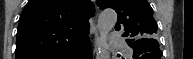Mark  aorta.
Masks as SVG:
<instances>
[{
    "label": "aorta",
    "mask_w": 193,
    "mask_h": 59,
    "mask_svg": "<svg viewBox=\"0 0 193 59\" xmlns=\"http://www.w3.org/2000/svg\"><path fill=\"white\" fill-rule=\"evenodd\" d=\"M117 22V14L112 9L101 12L98 17L97 28L99 31V42L97 59H110V50L108 45V34Z\"/></svg>",
    "instance_id": "762f6f07"
}]
</instances>
